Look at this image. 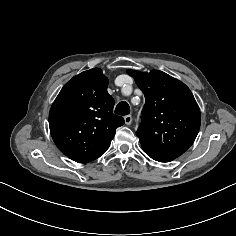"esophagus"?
<instances>
[{
  "label": "esophagus",
  "mask_w": 236,
  "mask_h": 236,
  "mask_svg": "<svg viewBox=\"0 0 236 236\" xmlns=\"http://www.w3.org/2000/svg\"><path fill=\"white\" fill-rule=\"evenodd\" d=\"M124 120H125V123H126L127 125H130V124L132 123V116H131V115H126V116L124 117Z\"/></svg>",
  "instance_id": "1"
}]
</instances>
